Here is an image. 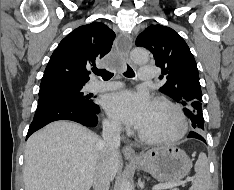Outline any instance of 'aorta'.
<instances>
[{"label": "aorta", "mask_w": 234, "mask_h": 190, "mask_svg": "<svg viewBox=\"0 0 234 190\" xmlns=\"http://www.w3.org/2000/svg\"><path fill=\"white\" fill-rule=\"evenodd\" d=\"M149 53L146 49L135 48L131 52V59L137 64H142L148 61ZM119 190H132V185L127 178H123L119 185Z\"/></svg>", "instance_id": "aorta-1"}]
</instances>
